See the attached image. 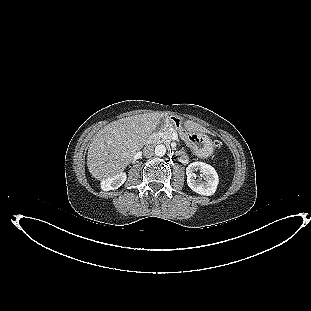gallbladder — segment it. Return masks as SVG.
<instances>
[{"label":"gallbladder","instance_id":"1","mask_svg":"<svg viewBox=\"0 0 311 311\" xmlns=\"http://www.w3.org/2000/svg\"><path fill=\"white\" fill-rule=\"evenodd\" d=\"M163 122H164L163 119H161V120H160V123H159V126H162V125H163Z\"/></svg>","mask_w":311,"mask_h":311}]
</instances>
